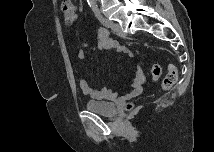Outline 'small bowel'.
<instances>
[{
    "mask_svg": "<svg viewBox=\"0 0 215 152\" xmlns=\"http://www.w3.org/2000/svg\"><path fill=\"white\" fill-rule=\"evenodd\" d=\"M97 39H98V48L101 50H108V49H115L118 52L124 53L130 57L133 56L132 51L126 46L122 45L116 40L112 39L109 32L104 29L100 28L97 31ZM86 44L78 50L77 57L80 60H84L86 58ZM146 80L143 74V71L138 63H134L133 65V74L130 80L129 91L126 92L123 96L124 97H134L138 95L145 84ZM80 87L84 94L90 95L93 98L99 100H112L117 97V95L107 88H94L92 87L89 82L81 78L80 79Z\"/></svg>",
    "mask_w": 215,
    "mask_h": 152,
    "instance_id": "c3829d8e",
    "label": "small bowel"
}]
</instances>
